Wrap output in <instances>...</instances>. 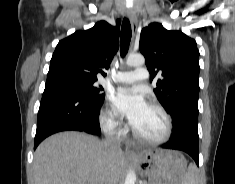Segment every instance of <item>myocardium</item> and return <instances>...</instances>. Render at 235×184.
I'll use <instances>...</instances> for the list:
<instances>
[{"label": "myocardium", "mask_w": 235, "mask_h": 184, "mask_svg": "<svg viewBox=\"0 0 235 184\" xmlns=\"http://www.w3.org/2000/svg\"><path fill=\"white\" fill-rule=\"evenodd\" d=\"M149 107L156 109L159 111L166 121V131L163 136L158 138H146L141 135H139L134 128H132V135L133 137L141 143L149 144V145H161L169 141V139L172 137L173 134V120L170 115V113L160 104L158 103H151Z\"/></svg>", "instance_id": "myocardium-1"}]
</instances>
